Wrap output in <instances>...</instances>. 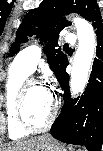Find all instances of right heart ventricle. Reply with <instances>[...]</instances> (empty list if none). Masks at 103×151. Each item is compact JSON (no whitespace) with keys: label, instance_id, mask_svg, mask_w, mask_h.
I'll return each instance as SVG.
<instances>
[{"label":"right heart ventricle","instance_id":"right-heart-ventricle-1","mask_svg":"<svg viewBox=\"0 0 103 151\" xmlns=\"http://www.w3.org/2000/svg\"><path fill=\"white\" fill-rule=\"evenodd\" d=\"M30 73L15 61L9 68L8 79L5 86V113L8 136L17 140L28 136L29 132L20 128L15 119V104L19 89Z\"/></svg>","mask_w":103,"mask_h":151}]
</instances>
